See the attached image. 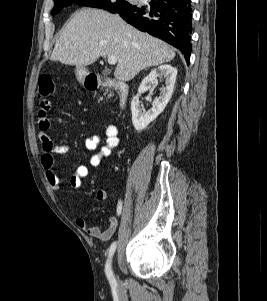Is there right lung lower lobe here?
I'll use <instances>...</instances> for the list:
<instances>
[{"label": "right lung lower lobe", "instance_id": "1", "mask_svg": "<svg viewBox=\"0 0 267 301\" xmlns=\"http://www.w3.org/2000/svg\"><path fill=\"white\" fill-rule=\"evenodd\" d=\"M126 22L178 48L189 64L191 54V0H148L118 13Z\"/></svg>", "mask_w": 267, "mask_h": 301}]
</instances>
